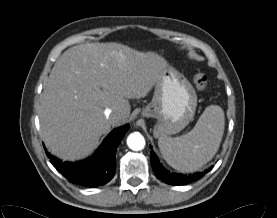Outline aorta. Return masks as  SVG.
Instances as JSON below:
<instances>
[{"mask_svg":"<svg viewBox=\"0 0 277 218\" xmlns=\"http://www.w3.org/2000/svg\"><path fill=\"white\" fill-rule=\"evenodd\" d=\"M127 145L130 149L139 151L145 147V139L139 132H134L128 136Z\"/></svg>","mask_w":277,"mask_h":218,"instance_id":"762f6f07","label":"aorta"}]
</instances>
